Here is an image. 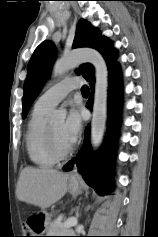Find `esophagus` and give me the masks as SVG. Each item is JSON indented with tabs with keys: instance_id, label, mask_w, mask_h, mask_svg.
<instances>
[{
	"instance_id": "34e87169",
	"label": "esophagus",
	"mask_w": 158,
	"mask_h": 237,
	"mask_svg": "<svg viewBox=\"0 0 158 237\" xmlns=\"http://www.w3.org/2000/svg\"><path fill=\"white\" fill-rule=\"evenodd\" d=\"M72 177L73 178H75V177H77L78 176V173H77V170L76 169H73V171H72Z\"/></svg>"
}]
</instances>
